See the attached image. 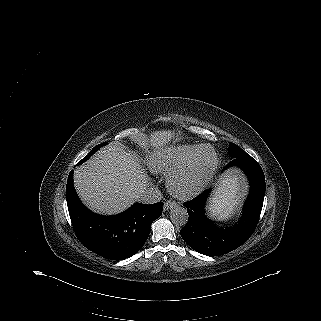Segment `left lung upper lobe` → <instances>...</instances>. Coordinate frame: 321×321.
Here are the masks:
<instances>
[{
  "label": "left lung upper lobe",
  "mask_w": 321,
  "mask_h": 321,
  "mask_svg": "<svg viewBox=\"0 0 321 321\" xmlns=\"http://www.w3.org/2000/svg\"><path fill=\"white\" fill-rule=\"evenodd\" d=\"M228 151L229 154L231 155V157L237 158L240 156H244V155H248L244 150H242L238 145L233 144L231 142H229V147H228Z\"/></svg>",
  "instance_id": "1"
}]
</instances>
